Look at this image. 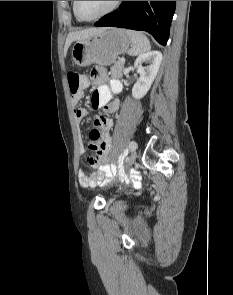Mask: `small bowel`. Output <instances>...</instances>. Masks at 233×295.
Here are the masks:
<instances>
[{
    "instance_id": "obj_1",
    "label": "small bowel",
    "mask_w": 233,
    "mask_h": 295,
    "mask_svg": "<svg viewBox=\"0 0 233 295\" xmlns=\"http://www.w3.org/2000/svg\"><path fill=\"white\" fill-rule=\"evenodd\" d=\"M106 79L105 72L102 68H94L91 72V80L98 85L94 90L91 98L93 107L102 108L103 114L95 119V125L102 131L101 155L97 163L93 165V172L86 174L79 171V183L83 188L95 187L106 183L113 178L118 167L114 163H109V151L111 148V138L109 130L113 126V121L109 117L118 111L120 102L118 99H113L112 96L121 91L122 85L118 80H111L108 84H104ZM83 97V92L72 96L74 107V117L77 122H81L87 112L84 108L78 106V103Z\"/></svg>"
}]
</instances>
